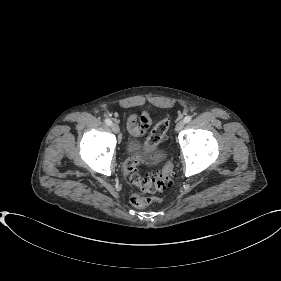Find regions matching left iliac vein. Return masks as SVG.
Segmentation results:
<instances>
[{
	"instance_id": "1",
	"label": "left iliac vein",
	"mask_w": 281,
	"mask_h": 281,
	"mask_svg": "<svg viewBox=\"0 0 281 281\" xmlns=\"http://www.w3.org/2000/svg\"><path fill=\"white\" fill-rule=\"evenodd\" d=\"M185 122L179 121L175 126V131L180 132L184 128Z\"/></svg>"
}]
</instances>
